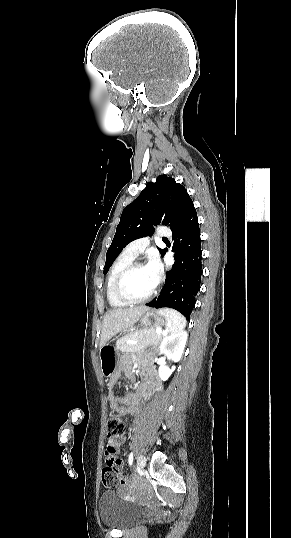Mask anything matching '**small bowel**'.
I'll list each match as a JSON object with an SVG mask.
<instances>
[{"label": "small bowel", "instance_id": "1", "mask_svg": "<svg viewBox=\"0 0 291 538\" xmlns=\"http://www.w3.org/2000/svg\"><path fill=\"white\" fill-rule=\"evenodd\" d=\"M122 370L126 373L128 378H132L129 371V359L124 357L121 364ZM119 374H114L107 383L108 387V400L110 407L113 410H116L121 415H137L141 412L140 401L144 396L146 390L156 383V376L153 373H147L145 377V382L142 384L137 392L125 394L123 396H118L115 394V388L118 382ZM126 441V438L121 435L117 439V445H123Z\"/></svg>", "mask_w": 291, "mask_h": 538}]
</instances>
